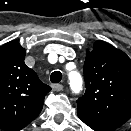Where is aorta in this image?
<instances>
[{
  "label": "aorta",
  "instance_id": "aorta-1",
  "mask_svg": "<svg viewBox=\"0 0 131 131\" xmlns=\"http://www.w3.org/2000/svg\"><path fill=\"white\" fill-rule=\"evenodd\" d=\"M70 87L74 92H79L82 89V77L77 72H71L69 74Z\"/></svg>",
  "mask_w": 131,
  "mask_h": 131
}]
</instances>
